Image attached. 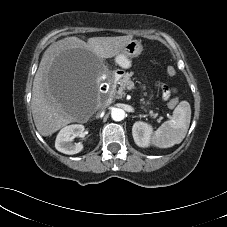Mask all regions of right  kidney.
Wrapping results in <instances>:
<instances>
[{"label": "right kidney", "instance_id": "obj_1", "mask_svg": "<svg viewBox=\"0 0 227 227\" xmlns=\"http://www.w3.org/2000/svg\"><path fill=\"white\" fill-rule=\"evenodd\" d=\"M84 126L81 124H73L66 126L60 130L56 137L55 148L68 155L77 154L83 149L82 143H72L75 137L84 136Z\"/></svg>", "mask_w": 227, "mask_h": 227}]
</instances>
